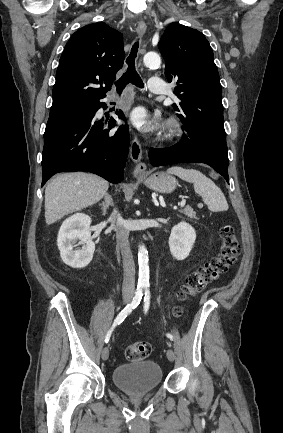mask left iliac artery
I'll list each match as a JSON object with an SVG mask.
<instances>
[{"label":"left iliac artery","instance_id":"44dca946","mask_svg":"<svg viewBox=\"0 0 283 433\" xmlns=\"http://www.w3.org/2000/svg\"><path fill=\"white\" fill-rule=\"evenodd\" d=\"M150 305V292L148 289L145 291V297H144V312L147 313ZM166 336L173 340V336L170 333H167Z\"/></svg>","mask_w":283,"mask_h":433}]
</instances>
